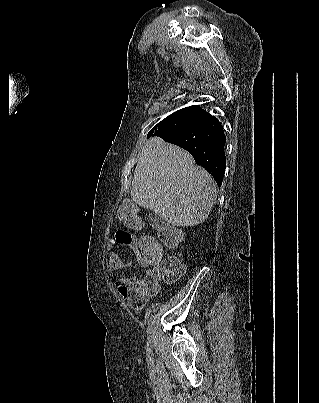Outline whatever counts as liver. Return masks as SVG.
<instances>
[{"mask_svg":"<svg viewBox=\"0 0 319 403\" xmlns=\"http://www.w3.org/2000/svg\"><path fill=\"white\" fill-rule=\"evenodd\" d=\"M131 198L168 224L187 227L204 222L217 191L211 175L188 152L153 137L139 154Z\"/></svg>","mask_w":319,"mask_h":403,"instance_id":"1","label":"liver"}]
</instances>
